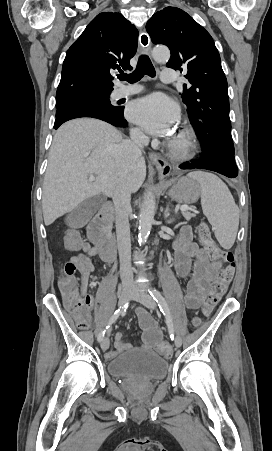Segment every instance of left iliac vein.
Masks as SVG:
<instances>
[{
    "label": "left iliac vein",
    "mask_w": 272,
    "mask_h": 451,
    "mask_svg": "<svg viewBox=\"0 0 272 451\" xmlns=\"http://www.w3.org/2000/svg\"><path fill=\"white\" fill-rule=\"evenodd\" d=\"M133 290H134V292H133L132 296H133V298L136 301L144 304L150 310H155L156 302H155L154 298L150 294H148L147 292H145L143 290H140L137 287L134 288ZM174 343H175L176 347H180L181 343H182L181 338L180 337H176Z\"/></svg>",
    "instance_id": "obj_1"
}]
</instances>
